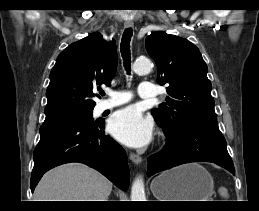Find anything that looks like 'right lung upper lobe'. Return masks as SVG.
I'll return each mask as SVG.
<instances>
[{
  "instance_id": "right-lung-upper-lobe-1",
  "label": "right lung upper lobe",
  "mask_w": 259,
  "mask_h": 211,
  "mask_svg": "<svg viewBox=\"0 0 259 211\" xmlns=\"http://www.w3.org/2000/svg\"><path fill=\"white\" fill-rule=\"evenodd\" d=\"M116 68L114 42L107 43L99 33L69 45L59 54L50 72L44 123L92 111L93 90L102 84L110 86Z\"/></svg>"
}]
</instances>
